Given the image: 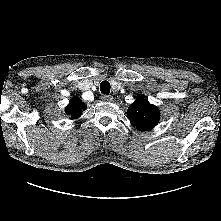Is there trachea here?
Listing matches in <instances>:
<instances>
[{"label":"trachea","instance_id":"obj_1","mask_svg":"<svg viewBox=\"0 0 221 221\" xmlns=\"http://www.w3.org/2000/svg\"><path fill=\"white\" fill-rule=\"evenodd\" d=\"M110 88H111V86L108 81L101 82V84H100L101 93L108 95L110 93Z\"/></svg>","mask_w":221,"mask_h":221}]
</instances>
